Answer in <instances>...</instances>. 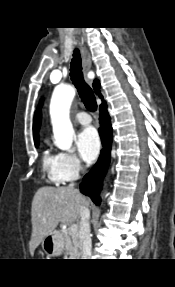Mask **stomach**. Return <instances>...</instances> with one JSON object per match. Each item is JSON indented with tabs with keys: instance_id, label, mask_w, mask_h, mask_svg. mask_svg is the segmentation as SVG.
<instances>
[{
	"instance_id": "stomach-1",
	"label": "stomach",
	"mask_w": 175,
	"mask_h": 287,
	"mask_svg": "<svg viewBox=\"0 0 175 287\" xmlns=\"http://www.w3.org/2000/svg\"><path fill=\"white\" fill-rule=\"evenodd\" d=\"M41 245L48 256H58L64 248L63 235L59 231L54 230L42 240Z\"/></svg>"
}]
</instances>
